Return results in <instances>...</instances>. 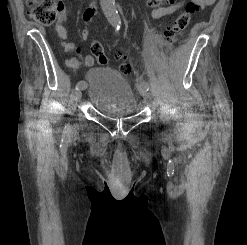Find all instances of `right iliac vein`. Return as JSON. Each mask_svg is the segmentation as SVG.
Wrapping results in <instances>:
<instances>
[{
	"label": "right iliac vein",
	"mask_w": 247,
	"mask_h": 245,
	"mask_svg": "<svg viewBox=\"0 0 247 245\" xmlns=\"http://www.w3.org/2000/svg\"><path fill=\"white\" fill-rule=\"evenodd\" d=\"M86 87L81 86L76 92H75V100L79 101L82 97V90H84Z\"/></svg>",
	"instance_id": "63e3f726"
}]
</instances>
